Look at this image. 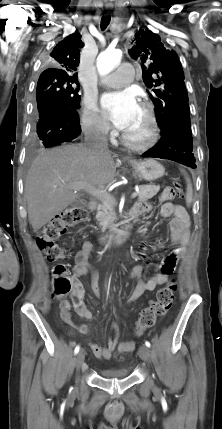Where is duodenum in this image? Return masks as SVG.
I'll list each match as a JSON object with an SVG mask.
<instances>
[{
	"label": "duodenum",
	"instance_id": "410a0bca",
	"mask_svg": "<svg viewBox=\"0 0 222 429\" xmlns=\"http://www.w3.org/2000/svg\"><path fill=\"white\" fill-rule=\"evenodd\" d=\"M97 207V202L91 201L88 203L87 209L89 212H94L96 211ZM136 216L137 215L135 213H131L129 216L125 217L121 227L113 233L102 237L100 242L106 247H112L125 243L130 236L132 223Z\"/></svg>",
	"mask_w": 222,
	"mask_h": 429
}]
</instances>
